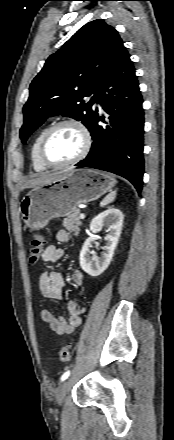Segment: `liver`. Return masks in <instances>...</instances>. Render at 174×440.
I'll return each instance as SVG.
<instances>
[{
    "label": "liver",
    "instance_id": "6515ba94",
    "mask_svg": "<svg viewBox=\"0 0 174 440\" xmlns=\"http://www.w3.org/2000/svg\"><path fill=\"white\" fill-rule=\"evenodd\" d=\"M65 172H57V173H51V174H46V175H41L37 178L31 179L29 180L23 188H34L36 186L39 185H43L46 183H49L57 178H59L62 174H64Z\"/></svg>",
    "mask_w": 174,
    "mask_h": 440
}]
</instances>
